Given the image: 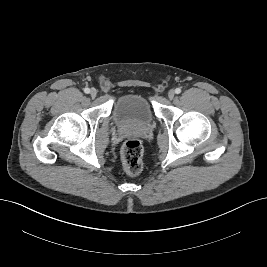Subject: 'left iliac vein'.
I'll return each instance as SVG.
<instances>
[{
    "label": "left iliac vein",
    "mask_w": 267,
    "mask_h": 267,
    "mask_svg": "<svg viewBox=\"0 0 267 267\" xmlns=\"http://www.w3.org/2000/svg\"><path fill=\"white\" fill-rule=\"evenodd\" d=\"M174 96H175V91H174V90H170V91L168 92V98H169L170 100H172V99L174 98Z\"/></svg>",
    "instance_id": "1"
}]
</instances>
